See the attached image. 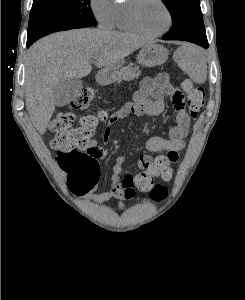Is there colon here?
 Returning a JSON list of instances; mask_svg holds the SVG:
<instances>
[{"label": "colon", "instance_id": "obj_1", "mask_svg": "<svg viewBox=\"0 0 245 300\" xmlns=\"http://www.w3.org/2000/svg\"><path fill=\"white\" fill-rule=\"evenodd\" d=\"M182 87L188 96V108L195 119L204 107V91L195 87L186 79ZM94 98L92 88L83 89L70 102L74 110L86 108ZM104 118V113L87 115L81 118L80 125L73 127L74 115L70 111L59 113L51 123V130L55 136L51 141L52 148L56 151L59 165L68 173V183L73 191L84 193L91 190L99 177L97 151L90 148V142L97 130L98 123ZM153 176L139 173L135 179L136 189L150 192L155 202L166 198L167 189L154 190Z\"/></svg>", "mask_w": 245, "mask_h": 300}]
</instances>
